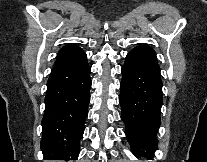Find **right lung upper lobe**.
<instances>
[{
    "mask_svg": "<svg viewBox=\"0 0 207 162\" xmlns=\"http://www.w3.org/2000/svg\"><path fill=\"white\" fill-rule=\"evenodd\" d=\"M83 54V50L75 44L65 46L58 52L55 65L74 60Z\"/></svg>",
    "mask_w": 207,
    "mask_h": 162,
    "instance_id": "obj_1",
    "label": "right lung upper lobe"
}]
</instances>
